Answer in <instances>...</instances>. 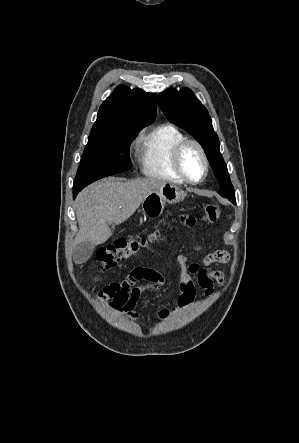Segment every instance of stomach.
I'll return each instance as SVG.
<instances>
[{
	"instance_id": "0dacf381",
	"label": "stomach",
	"mask_w": 299,
	"mask_h": 443,
	"mask_svg": "<svg viewBox=\"0 0 299 443\" xmlns=\"http://www.w3.org/2000/svg\"><path fill=\"white\" fill-rule=\"evenodd\" d=\"M185 196L186 194L176 185L166 183L156 188L143 200V214L149 218H156L163 213L166 203L176 204L183 201Z\"/></svg>"
}]
</instances>
